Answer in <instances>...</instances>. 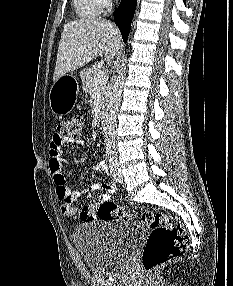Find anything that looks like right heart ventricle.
<instances>
[{
  "label": "right heart ventricle",
  "mask_w": 233,
  "mask_h": 286,
  "mask_svg": "<svg viewBox=\"0 0 233 286\" xmlns=\"http://www.w3.org/2000/svg\"><path fill=\"white\" fill-rule=\"evenodd\" d=\"M76 13L81 18H95L104 9L102 0H73Z\"/></svg>",
  "instance_id": "1"
}]
</instances>
